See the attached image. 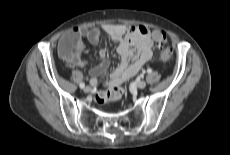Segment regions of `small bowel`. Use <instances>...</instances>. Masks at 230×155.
<instances>
[{"label":"small bowel","mask_w":230,"mask_h":155,"mask_svg":"<svg viewBox=\"0 0 230 155\" xmlns=\"http://www.w3.org/2000/svg\"><path fill=\"white\" fill-rule=\"evenodd\" d=\"M103 31L112 41L118 43L117 52L121 56L119 65L113 70L109 80L106 82L107 86L111 88L134 76L145 63L152 59L153 42L155 41L153 34L155 31L151 33L144 26L126 27L122 24L105 25ZM68 34H74L79 38V45L72 62L77 66H84L86 61L80 57V51L83 46L82 38H86L92 45H97L101 32L97 28L76 27ZM108 65L109 62L105 51H100L99 62L90 68V74L93 76L90 84L93 87H97L99 84L96 76L105 73Z\"/></svg>","instance_id":"1"}]
</instances>
